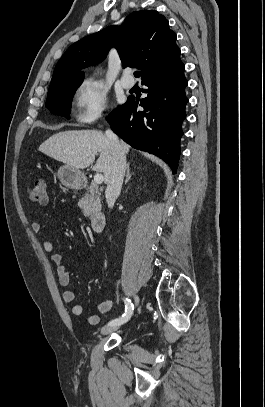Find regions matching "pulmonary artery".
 I'll use <instances>...</instances> for the list:
<instances>
[{
    "label": "pulmonary artery",
    "mask_w": 265,
    "mask_h": 407,
    "mask_svg": "<svg viewBox=\"0 0 265 407\" xmlns=\"http://www.w3.org/2000/svg\"><path fill=\"white\" fill-rule=\"evenodd\" d=\"M120 83L125 89H131L134 86V80L130 77V70L127 69L123 72Z\"/></svg>",
    "instance_id": "1"
}]
</instances>
